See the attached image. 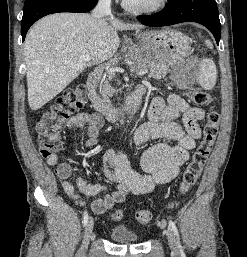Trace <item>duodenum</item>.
Listing matches in <instances>:
<instances>
[{
  "instance_id": "duodenum-1",
  "label": "duodenum",
  "mask_w": 247,
  "mask_h": 257,
  "mask_svg": "<svg viewBox=\"0 0 247 257\" xmlns=\"http://www.w3.org/2000/svg\"><path fill=\"white\" fill-rule=\"evenodd\" d=\"M98 76L96 73H90L86 79V89L91 106L97 112L101 113L108 120L115 121L134 115L140 108L142 97L145 93V87L138 85L130 96L127 103L122 108L113 107L105 103L96 92Z\"/></svg>"
}]
</instances>
